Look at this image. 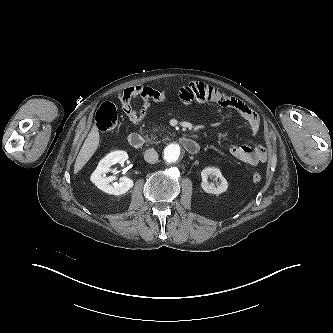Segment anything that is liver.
<instances>
[{
	"label": "liver",
	"instance_id": "obj_1",
	"mask_svg": "<svg viewBox=\"0 0 333 333\" xmlns=\"http://www.w3.org/2000/svg\"><path fill=\"white\" fill-rule=\"evenodd\" d=\"M99 145V132L96 126H93L89 132L74 165V173L77 174L83 166L90 160Z\"/></svg>",
	"mask_w": 333,
	"mask_h": 333
}]
</instances>
